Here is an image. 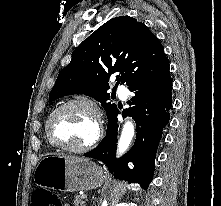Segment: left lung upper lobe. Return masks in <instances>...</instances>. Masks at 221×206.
<instances>
[{"instance_id": "1", "label": "left lung upper lobe", "mask_w": 221, "mask_h": 206, "mask_svg": "<svg viewBox=\"0 0 221 206\" xmlns=\"http://www.w3.org/2000/svg\"><path fill=\"white\" fill-rule=\"evenodd\" d=\"M169 68L158 38L136 19L116 17L91 34L72 53L71 62L59 73L49 100L85 94L101 102L110 130L117 107L108 102L109 77L116 74L129 90ZM116 86L114 88H116Z\"/></svg>"}]
</instances>
